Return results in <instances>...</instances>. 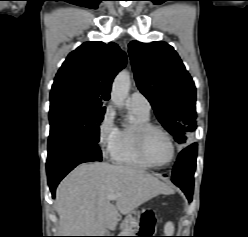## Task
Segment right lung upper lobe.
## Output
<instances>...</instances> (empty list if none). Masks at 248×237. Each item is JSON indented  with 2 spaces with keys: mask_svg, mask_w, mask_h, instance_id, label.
<instances>
[{
  "mask_svg": "<svg viewBox=\"0 0 248 237\" xmlns=\"http://www.w3.org/2000/svg\"><path fill=\"white\" fill-rule=\"evenodd\" d=\"M125 52L110 42H86L72 51L59 69L50 101L75 100L98 108L110 98L111 84L125 67Z\"/></svg>",
  "mask_w": 248,
  "mask_h": 237,
  "instance_id": "obj_1",
  "label": "right lung upper lobe"
}]
</instances>
